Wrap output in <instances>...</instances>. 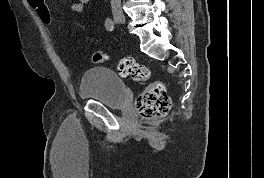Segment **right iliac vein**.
Masks as SVG:
<instances>
[{"mask_svg": "<svg viewBox=\"0 0 264 178\" xmlns=\"http://www.w3.org/2000/svg\"><path fill=\"white\" fill-rule=\"evenodd\" d=\"M114 19H115L116 22H118L120 24H124L125 23V17L121 13H115L114 14Z\"/></svg>", "mask_w": 264, "mask_h": 178, "instance_id": "1", "label": "right iliac vein"}]
</instances>
